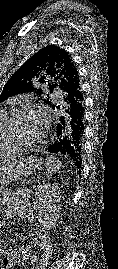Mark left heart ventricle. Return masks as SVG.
Segmentation results:
<instances>
[{
    "mask_svg": "<svg viewBox=\"0 0 118 269\" xmlns=\"http://www.w3.org/2000/svg\"><path fill=\"white\" fill-rule=\"evenodd\" d=\"M11 133L16 139L34 142L42 137L43 126L35 117L34 112H28L15 122Z\"/></svg>",
    "mask_w": 118,
    "mask_h": 269,
    "instance_id": "left-heart-ventricle-1",
    "label": "left heart ventricle"
}]
</instances>
